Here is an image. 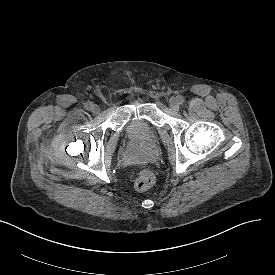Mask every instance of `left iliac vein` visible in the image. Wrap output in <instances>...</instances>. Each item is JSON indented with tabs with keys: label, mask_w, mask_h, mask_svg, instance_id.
<instances>
[{
	"label": "left iliac vein",
	"mask_w": 275,
	"mask_h": 275,
	"mask_svg": "<svg viewBox=\"0 0 275 275\" xmlns=\"http://www.w3.org/2000/svg\"><path fill=\"white\" fill-rule=\"evenodd\" d=\"M169 104L171 106V108L175 111L179 110V101L177 98L175 97H172L170 100H169Z\"/></svg>",
	"instance_id": "4c4485c4"
}]
</instances>
